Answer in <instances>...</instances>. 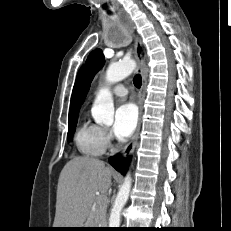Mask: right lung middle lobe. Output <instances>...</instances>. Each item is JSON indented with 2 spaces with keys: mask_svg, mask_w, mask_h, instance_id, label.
I'll use <instances>...</instances> for the list:
<instances>
[{
  "mask_svg": "<svg viewBox=\"0 0 231 231\" xmlns=\"http://www.w3.org/2000/svg\"><path fill=\"white\" fill-rule=\"evenodd\" d=\"M76 125H77V116H74L72 118L68 119V134H67V140L70 141L73 138V134L75 132L76 129Z\"/></svg>",
  "mask_w": 231,
  "mask_h": 231,
  "instance_id": "obj_1",
  "label": "right lung middle lobe"
}]
</instances>
